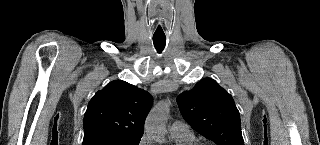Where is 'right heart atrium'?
Here are the masks:
<instances>
[{
  "mask_svg": "<svg viewBox=\"0 0 320 145\" xmlns=\"http://www.w3.org/2000/svg\"><path fill=\"white\" fill-rule=\"evenodd\" d=\"M139 145H152L150 137L144 134L141 139L139 140Z\"/></svg>",
  "mask_w": 320,
  "mask_h": 145,
  "instance_id": "right-heart-atrium-1",
  "label": "right heart atrium"
}]
</instances>
